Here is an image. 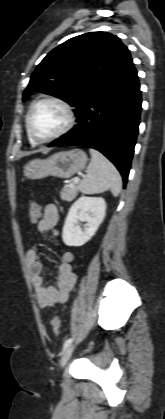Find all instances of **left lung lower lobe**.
<instances>
[{"instance_id": "0a47b994", "label": "left lung lower lobe", "mask_w": 165, "mask_h": 419, "mask_svg": "<svg viewBox=\"0 0 165 419\" xmlns=\"http://www.w3.org/2000/svg\"><path fill=\"white\" fill-rule=\"evenodd\" d=\"M141 111V92L132 60L112 76L76 114L78 124L48 146L79 145L103 153L127 183Z\"/></svg>"}]
</instances>
